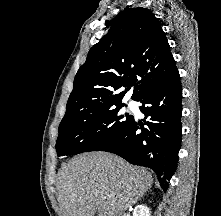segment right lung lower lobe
Here are the masks:
<instances>
[{"instance_id":"right-lung-lower-lobe-1","label":"right lung lower lobe","mask_w":221,"mask_h":216,"mask_svg":"<svg viewBox=\"0 0 221 216\" xmlns=\"http://www.w3.org/2000/svg\"><path fill=\"white\" fill-rule=\"evenodd\" d=\"M144 128L136 119L100 151L117 154L134 165L149 167L164 191L176 170L181 148L182 88L178 70L147 92L140 100ZM147 104V106H145ZM140 129L141 133L137 130Z\"/></svg>"}]
</instances>
